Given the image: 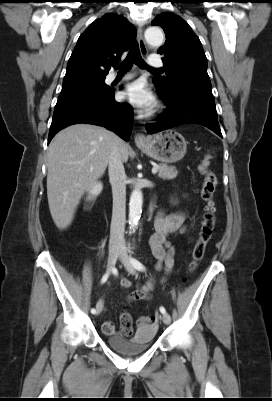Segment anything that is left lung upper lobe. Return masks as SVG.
Segmentation results:
<instances>
[{
	"mask_svg": "<svg viewBox=\"0 0 272 401\" xmlns=\"http://www.w3.org/2000/svg\"><path fill=\"white\" fill-rule=\"evenodd\" d=\"M152 25L162 27L167 35L165 45L158 50L163 56L166 75L153 78L156 88L163 93L175 87L212 91L207 58L191 27L174 13H161L155 17Z\"/></svg>",
	"mask_w": 272,
	"mask_h": 401,
	"instance_id": "left-lung-upper-lobe-1",
	"label": "left lung upper lobe"
}]
</instances>
